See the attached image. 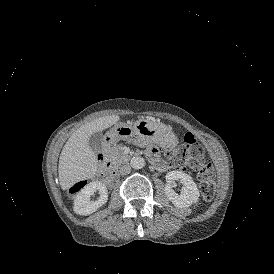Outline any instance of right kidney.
Here are the masks:
<instances>
[{
	"instance_id": "1",
	"label": "right kidney",
	"mask_w": 274,
	"mask_h": 274,
	"mask_svg": "<svg viewBox=\"0 0 274 274\" xmlns=\"http://www.w3.org/2000/svg\"><path fill=\"white\" fill-rule=\"evenodd\" d=\"M96 191L100 194L99 198L96 201H90V196ZM107 200L108 194L106 186L99 181L90 182L76 195L73 210L79 215H90L105 204Z\"/></svg>"
}]
</instances>
